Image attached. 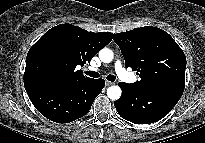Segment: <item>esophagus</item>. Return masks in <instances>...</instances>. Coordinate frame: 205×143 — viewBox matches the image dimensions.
Instances as JSON below:
<instances>
[{
    "label": "esophagus",
    "instance_id": "obj_1",
    "mask_svg": "<svg viewBox=\"0 0 205 143\" xmlns=\"http://www.w3.org/2000/svg\"><path fill=\"white\" fill-rule=\"evenodd\" d=\"M112 84H113V83L110 82V81H106V82H105V85H106V86H111Z\"/></svg>",
    "mask_w": 205,
    "mask_h": 143
}]
</instances>
